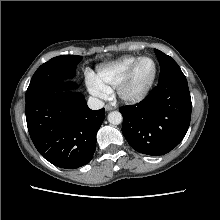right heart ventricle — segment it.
Wrapping results in <instances>:
<instances>
[{"instance_id": "obj_1", "label": "right heart ventricle", "mask_w": 220, "mask_h": 220, "mask_svg": "<svg viewBox=\"0 0 220 220\" xmlns=\"http://www.w3.org/2000/svg\"><path fill=\"white\" fill-rule=\"evenodd\" d=\"M137 58L130 55L123 56L113 62L100 66L97 71V81L110 91L111 87H116L123 80Z\"/></svg>"}]
</instances>
